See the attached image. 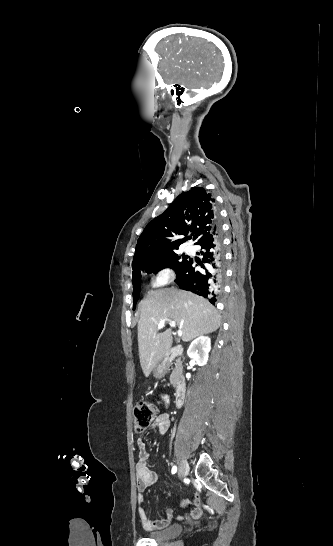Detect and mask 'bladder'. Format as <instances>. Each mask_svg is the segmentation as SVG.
Segmentation results:
<instances>
[{
    "instance_id": "obj_1",
    "label": "bladder",
    "mask_w": 333,
    "mask_h": 546,
    "mask_svg": "<svg viewBox=\"0 0 333 546\" xmlns=\"http://www.w3.org/2000/svg\"><path fill=\"white\" fill-rule=\"evenodd\" d=\"M181 529L179 524L174 523L159 530L147 531L145 536L156 541H165L178 536Z\"/></svg>"
}]
</instances>
